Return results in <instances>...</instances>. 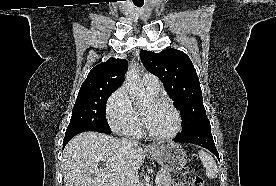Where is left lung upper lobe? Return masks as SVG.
I'll return each instance as SVG.
<instances>
[{
  "mask_svg": "<svg viewBox=\"0 0 276 186\" xmlns=\"http://www.w3.org/2000/svg\"><path fill=\"white\" fill-rule=\"evenodd\" d=\"M140 57L146 69L162 81L174 106L182 114L180 135L211 127L203 105L199 78L188 55L170 48L160 53L143 50Z\"/></svg>",
  "mask_w": 276,
  "mask_h": 186,
  "instance_id": "obj_1",
  "label": "left lung upper lobe"
}]
</instances>
